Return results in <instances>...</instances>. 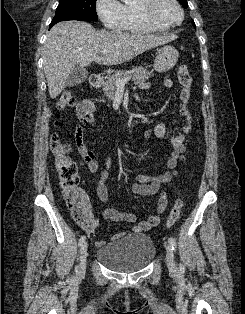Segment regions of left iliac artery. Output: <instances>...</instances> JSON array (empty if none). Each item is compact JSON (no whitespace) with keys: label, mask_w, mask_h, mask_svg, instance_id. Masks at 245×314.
<instances>
[{"label":"left iliac artery","mask_w":245,"mask_h":314,"mask_svg":"<svg viewBox=\"0 0 245 314\" xmlns=\"http://www.w3.org/2000/svg\"><path fill=\"white\" fill-rule=\"evenodd\" d=\"M168 241H169V243H170V245H171V247H172V250L175 251L176 248H177V244H176L175 239H174L173 237H170V238L168 239ZM180 268H183V266L180 265Z\"/></svg>","instance_id":"obj_1"}]
</instances>
